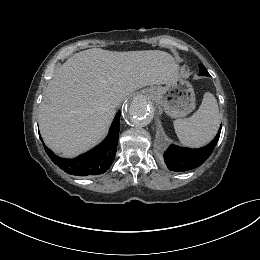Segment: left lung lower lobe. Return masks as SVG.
Returning a JSON list of instances; mask_svg holds the SVG:
<instances>
[{
    "label": "left lung lower lobe",
    "mask_w": 260,
    "mask_h": 260,
    "mask_svg": "<svg viewBox=\"0 0 260 260\" xmlns=\"http://www.w3.org/2000/svg\"><path fill=\"white\" fill-rule=\"evenodd\" d=\"M220 132L221 128L214 140L203 148L190 149L170 145L164 153V161L167 167L176 172H184L199 167L208 159L214 150L219 140Z\"/></svg>",
    "instance_id": "obj_1"
}]
</instances>
